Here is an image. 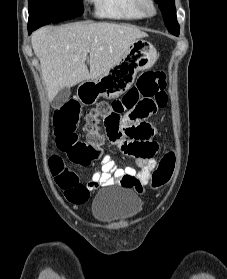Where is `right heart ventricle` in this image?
<instances>
[{
    "mask_svg": "<svg viewBox=\"0 0 227 279\" xmlns=\"http://www.w3.org/2000/svg\"><path fill=\"white\" fill-rule=\"evenodd\" d=\"M96 15L102 18L139 21L142 18L136 0H93Z\"/></svg>",
    "mask_w": 227,
    "mask_h": 279,
    "instance_id": "obj_1",
    "label": "right heart ventricle"
}]
</instances>
